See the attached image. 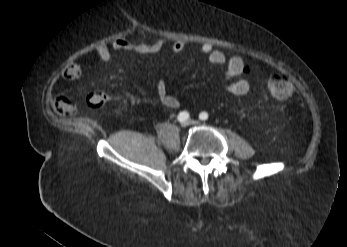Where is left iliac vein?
Returning <instances> with one entry per match:
<instances>
[{
  "label": "left iliac vein",
  "mask_w": 347,
  "mask_h": 247,
  "mask_svg": "<svg viewBox=\"0 0 347 247\" xmlns=\"http://www.w3.org/2000/svg\"><path fill=\"white\" fill-rule=\"evenodd\" d=\"M190 124H193V125H198V124H199V122H198V121H196V120H192V121H190Z\"/></svg>",
  "instance_id": "obj_1"
}]
</instances>
